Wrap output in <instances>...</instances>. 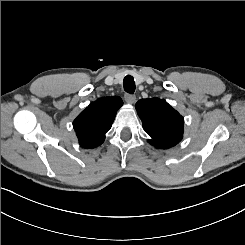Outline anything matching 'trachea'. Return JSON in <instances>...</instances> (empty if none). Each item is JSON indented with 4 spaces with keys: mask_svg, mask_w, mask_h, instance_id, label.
Returning <instances> with one entry per match:
<instances>
[{
    "mask_svg": "<svg viewBox=\"0 0 245 245\" xmlns=\"http://www.w3.org/2000/svg\"><path fill=\"white\" fill-rule=\"evenodd\" d=\"M123 86L126 92L133 94L136 88L134 78L131 75L125 76Z\"/></svg>",
    "mask_w": 245,
    "mask_h": 245,
    "instance_id": "1",
    "label": "trachea"
}]
</instances>
